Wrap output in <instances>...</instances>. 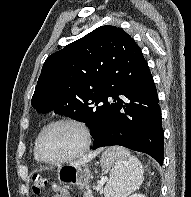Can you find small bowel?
<instances>
[{"label": "small bowel", "instance_id": "1", "mask_svg": "<svg viewBox=\"0 0 191 197\" xmlns=\"http://www.w3.org/2000/svg\"><path fill=\"white\" fill-rule=\"evenodd\" d=\"M59 197H63V195L60 193Z\"/></svg>", "mask_w": 191, "mask_h": 197}]
</instances>
